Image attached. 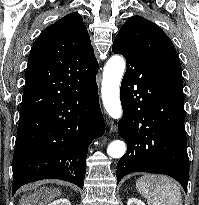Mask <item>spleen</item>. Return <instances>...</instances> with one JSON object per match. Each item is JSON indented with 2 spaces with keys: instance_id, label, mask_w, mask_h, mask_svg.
Listing matches in <instances>:
<instances>
[{
  "instance_id": "obj_1",
  "label": "spleen",
  "mask_w": 199,
  "mask_h": 205,
  "mask_svg": "<svg viewBox=\"0 0 199 205\" xmlns=\"http://www.w3.org/2000/svg\"><path fill=\"white\" fill-rule=\"evenodd\" d=\"M136 188L148 205H182L180 188L166 176L146 174L137 180Z\"/></svg>"
}]
</instances>
